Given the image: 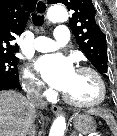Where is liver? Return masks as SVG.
I'll list each match as a JSON object with an SVG mask.
<instances>
[{"label": "liver", "instance_id": "6515ba94", "mask_svg": "<svg viewBox=\"0 0 117 136\" xmlns=\"http://www.w3.org/2000/svg\"><path fill=\"white\" fill-rule=\"evenodd\" d=\"M35 113L21 93L0 91V136H26Z\"/></svg>", "mask_w": 117, "mask_h": 136}]
</instances>
